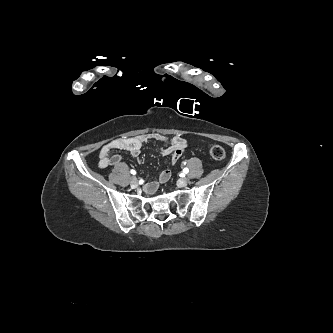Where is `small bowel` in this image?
I'll return each instance as SVG.
<instances>
[{"label":"small bowel","instance_id":"obj_1","mask_svg":"<svg viewBox=\"0 0 333 333\" xmlns=\"http://www.w3.org/2000/svg\"><path fill=\"white\" fill-rule=\"evenodd\" d=\"M151 141L162 144L160 153L163 156H169L170 163L172 165L181 158L187 147V142L184 138L175 136L169 139L168 137L158 133L118 138L101 148L99 152L98 166L101 169L109 166H117L121 161V157L118 154H112L114 151L124 150L128 151L132 156H138L141 152L142 146ZM170 177L171 171L169 169L162 171L159 176V183L168 182ZM144 188L147 193L153 194L158 188V182L149 181L145 184Z\"/></svg>","mask_w":333,"mask_h":333}]
</instances>
